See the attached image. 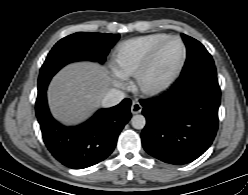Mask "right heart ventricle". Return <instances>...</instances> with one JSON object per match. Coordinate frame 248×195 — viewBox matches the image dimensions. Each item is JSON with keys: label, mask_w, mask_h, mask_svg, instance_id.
<instances>
[{"label": "right heart ventricle", "mask_w": 248, "mask_h": 195, "mask_svg": "<svg viewBox=\"0 0 248 195\" xmlns=\"http://www.w3.org/2000/svg\"><path fill=\"white\" fill-rule=\"evenodd\" d=\"M168 36L165 33H153L122 43L114 59L117 72L135 76L144 67L153 50Z\"/></svg>", "instance_id": "obj_1"}]
</instances>
